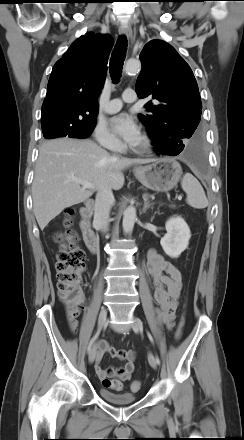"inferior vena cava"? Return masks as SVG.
<instances>
[{"instance_id": "inferior-vena-cava-1", "label": "inferior vena cava", "mask_w": 244, "mask_h": 440, "mask_svg": "<svg viewBox=\"0 0 244 440\" xmlns=\"http://www.w3.org/2000/svg\"><path fill=\"white\" fill-rule=\"evenodd\" d=\"M114 196L108 185H102L95 199L94 225L102 232L108 231L109 215Z\"/></svg>"}]
</instances>
